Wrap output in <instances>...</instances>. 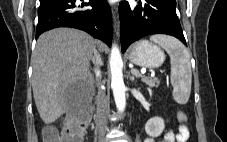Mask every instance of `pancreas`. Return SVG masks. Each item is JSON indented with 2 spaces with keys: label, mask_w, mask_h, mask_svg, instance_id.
Here are the masks:
<instances>
[{
  "label": "pancreas",
  "mask_w": 227,
  "mask_h": 142,
  "mask_svg": "<svg viewBox=\"0 0 227 142\" xmlns=\"http://www.w3.org/2000/svg\"><path fill=\"white\" fill-rule=\"evenodd\" d=\"M137 76L141 78V81L147 84L149 87H157L160 82L158 78L146 77L141 74H137Z\"/></svg>",
  "instance_id": "1"
}]
</instances>
